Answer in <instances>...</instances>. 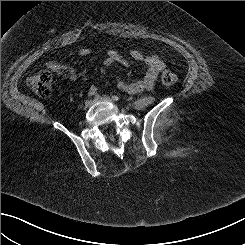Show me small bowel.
<instances>
[{
	"label": "small bowel",
	"mask_w": 245,
	"mask_h": 245,
	"mask_svg": "<svg viewBox=\"0 0 245 245\" xmlns=\"http://www.w3.org/2000/svg\"><path fill=\"white\" fill-rule=\"evenodd\" d=\"M86 49H80L78 54L87 55ZM131 61L142 63L146 67L145 75L142 79L134 82H117V88L128 94H136L140 92H149L154 89L155 82L159 74L164 70V62L156 55H145L140 50H132L129 57H125L115 50H108L104 59V64L110 66L113 64L129 65ZM46 67L59 76H62L70 81L77 79L75 70L71 67L61 64L57 58H52L46 62ZM97 91L95 86L89 90V94L93 95Z\"/></svg>",
	"instance_id": "small-bowel-1"
}]
</instances>
